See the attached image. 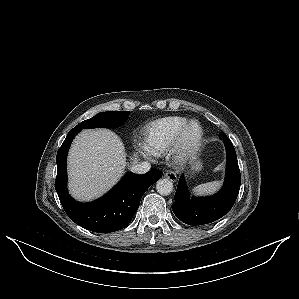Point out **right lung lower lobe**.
<instances>
[{
    "mask_svg": "<svg viewBox=\"0 0 299 299\" xmlns=\"http://www.w3.org/2000/svg\"><path fill=\"white\" fill-rule=\"evenodd\" d=\"M80 131L73 128L57 152L55 189L60 202L69 218L85 229L98 233L123 229L136 213L143 194L162 172L151 170L144 175L128 172L103 197L90 203H79L67 191L66 158L73 138Z\"/></svg>",
    "mask_w": 299,
    "mask_h": 299,
    "instance_id": "98d812e1",
    "label": "right lung lower lobe"
}]
</instances>
